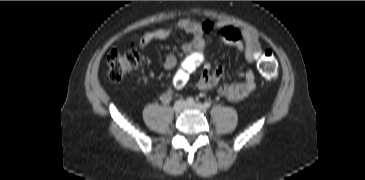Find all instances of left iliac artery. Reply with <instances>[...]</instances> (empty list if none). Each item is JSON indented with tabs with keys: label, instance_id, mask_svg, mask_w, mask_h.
<instances>
[{
	"label": "left iliac artery",
	"instance_id": "left-iliac-artery-1",
	"mask_svg": "<svg viewBox=\"0 0 365 180\" xmlns=\"http://www.w3.org/2000/svg\"><path fill=\"white\" fill-rule=\"evenodd\" d=\"M204 106H205L206 108H209V107L211 106V103L207 101V102H205V103H204Z\"/></svg>",
	"mask_w": 365,
	"mask_h": 180
}]
</instances>
